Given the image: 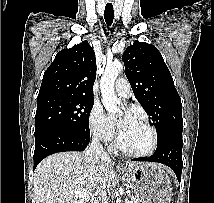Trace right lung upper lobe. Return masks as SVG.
Instances as JSON below:
<instances>
[{
    "instance_id": "right-lung-upper-lobe-1",
    "label": "right lung upper lobe",
    "mask_w": 214,
    "mask_h": 203,
    "mask_svg": "<svg viewBox=\"0 0 214 203\" xmlns=\"http://www.w3.org/2000/svg\"><path fill=\"white\" fill-rule=\"evenodd\" d=\"M96 58L87 41L63 49L45 71L38 99L52 95L93 98Z\"/></svg>"
}]
</instances>
